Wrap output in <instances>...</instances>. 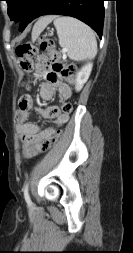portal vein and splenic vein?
<instances>
[{"mask_svg":"<svg viewBox=\"0 0 133 253\" xmlns=\"http://www.w3.org/2000/svg\"><path fill=\"white\" fill-rule=\"evenodd\" d=\"M62 52L65 54L66 50H65V49H63V50H62Z\"/></svg>","mask_w":133,"mask_h":253,"instance_id":"obj_1","label":"portal vein and splenic vein"}]
</instances>
